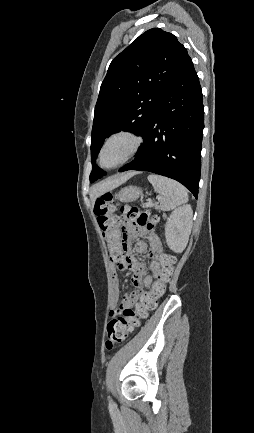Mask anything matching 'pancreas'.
Masks as SVG:
<instances>
[{"mask_svg":"<svg viewBox=\"0 0 254 433\" xmlns=\"http://www.w3.org/2000/svg\"><path fill=\"white\" fill-rule=\"evenodd\" d=\"M155 208H156V209H160L159 206H158L157 204H155Z\"/></svg>","mask_w":254,"mask_h":433,"instance_id":"obj_1","label":"pancreas"}]
</instances>
